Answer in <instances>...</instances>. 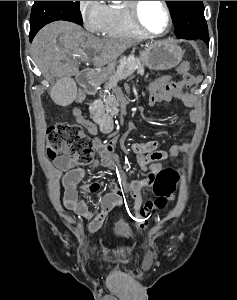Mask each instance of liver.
I'll list each match as a JSON object with an SVG mask.
<instances>
[{
  "label": "liver",
  "mask_w": 237,
  "mask_h": 300,
  "mask_svg": "<svg viewBox=\"0 0 237 300\" xmlns=\"http://www.w3.org/2000/svg\"><path fill=\"white\" fill-rule=\"evenodd\" d=\"M127 39H99L79 25L57 21L43 27L32 43L33 61L46 79L79 73L81 61L90 59L94 67H105L132 47Z\"/></svg>",
  "instance_id": "liver-1"
}]
</instances>
